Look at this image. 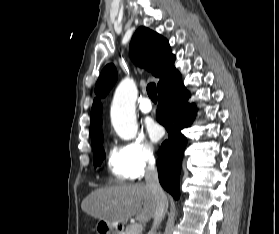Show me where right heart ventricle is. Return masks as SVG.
I'll use <instances>...</instances> for the list:
<instances>
[{
	"instance_id": "right-heart-ventricle-1",
	"label": "right heart ventricle",
	"mask_w": 279,
	"mask_h": 234,
	"mask_svg": "<svg viewBox=\"0 0 279 234\" xmlns=\"http://www.w3.org/2000/svg\"><path fill=\"white\" fill-rule=\"evenodd\" d=\"M107 165L111 174L118 181L134 179L131 175L124 149L118 147L110 148L107 156Z\"/></svg>"
}]
</instances>
